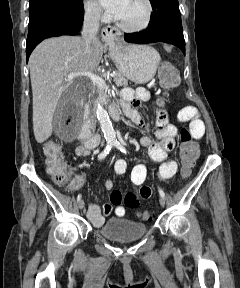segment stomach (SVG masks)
<instances>
[{"instance_id": "obj_1", "label": "stomach", "mask_w": 240, "mask_h": 288, "mask_svg": "<svg viewBox=\"0 0 240 288\" xmlns=\"http://www.w3.org/2000/svg\"><path fill=\"white\" fill-rule=\"evenodd\" d=\"M109 53L119 72L137 84L149 82L156 74L161 57L156 49L148 45L113 42Z\"/></svg>"}]
</instances>
